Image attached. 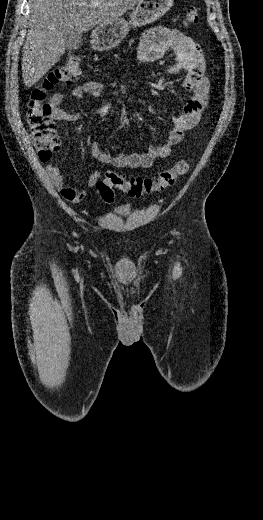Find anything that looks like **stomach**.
<instances>
[{"label":"stomach","mask_w":263,"mask_h":520,"mask_svg":"<svg viewBox=\"0 0 263 520\" xmlns=\"http://www.w3.org/2000/svg\"><path fill=\"white\" fill-rule=\"evenodd\" d=\"M174 0H140L130 15V20L119 18L98 25L91 34L95 50L108 51L115 48L127 35L131 27L153 23L161 18L173 5Z\"/></svg>","instance_id":"stomach-1"}]
</instances>
